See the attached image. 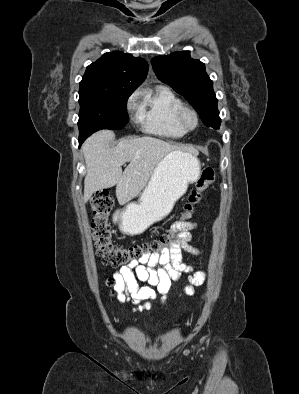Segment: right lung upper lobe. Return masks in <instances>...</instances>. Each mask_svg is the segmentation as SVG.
<instances>
[{"label":"right lung upper lobe","mask_w":299,"mask_h":394,"mask_svg":"<svg viewBox=\"0 0 299 394\" xmlns=\"http://www.w3.org/2000/svg\"><path fill=\"white\" fill-rule=\"evenodd\" d=\"M147 72L144 59L120 51L108 52L87 67L79 91L135 90Z\"/></svg>","instance_id":"right-lung-upper-lobe-1"}]
</instances>
